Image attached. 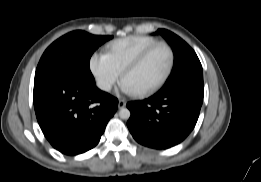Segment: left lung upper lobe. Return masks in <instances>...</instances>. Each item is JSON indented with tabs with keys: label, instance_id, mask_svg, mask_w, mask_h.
<instances>
[{
	"label": "left lung upper lobe",
	"instance_id": "obj_1",
	"mask_svg": "<svg viewBox=\"0 0 261 182\" xmlns=\"http://www.w3.org/2000/svg\"><path fill=\"white\" fill-rule=\"evenodd\" d=\"M157 33L167 40L174 51V66L171 75L160 92L170 91L191 81L203 80L202 66L194 50L168 30L158 29Z\"/></svg>",
	"mask_w": 261,
	"mask_h": 182
}]
</instances>
